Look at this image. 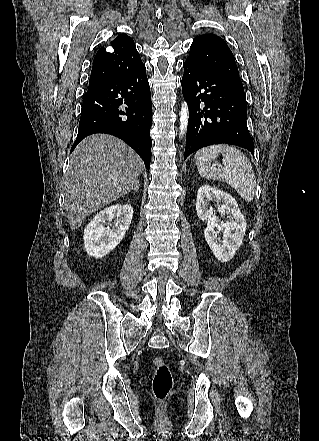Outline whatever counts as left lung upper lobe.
Segmentation results:
<instances>
[{"label": "left lung upper lobe", "mask_w": 319, "mask_h": 441, "mask_svg": "<svg viewBox=\"0 0 319 441\" xmlns=\"http://www.w3.org/2000/svg\"><path fill=\"white\" fill-rule=\"evenodd\" d=\"M187 60L226 76L244 90L233 53L226 42L215 34L197 36L190 47Z\"/></svg>", "instance_id": "obj_1"}]
</instances>
